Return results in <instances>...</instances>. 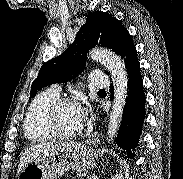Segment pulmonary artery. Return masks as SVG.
Here are the masks:
<instances>
[{
	"label": "pulmonary artery",
	"instance_id": "e3ab8cb5",
	"mask_svg": "<svg viewBox=\"0 0 183 179\" xmlns=\"http://www.w3.org/2000/svg\"><path fill=\"white\" fill-rule=\"evenodd\" d=\"M91 84L96 87V88H105L108 87L110 81L109 78L104 75L101 72L95 71L91 73V78H90ZM53 89L57 92L60 91L59 86L55 85Z\"/></svg>",
	"mask_w": 183,
	"mask_h": 179
}]
</instances>
